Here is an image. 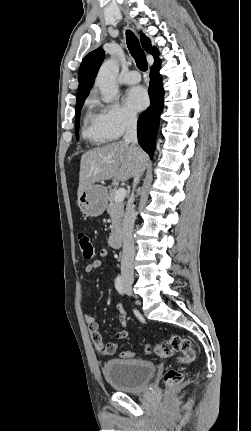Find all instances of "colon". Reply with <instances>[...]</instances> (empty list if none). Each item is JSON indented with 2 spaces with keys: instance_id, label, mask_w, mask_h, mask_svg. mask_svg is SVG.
<instances>
[{
  "instance_id": "colon-1",
  "label": "colon",
  "mask_w": 251,
  "mask_h": 431,
  "mask_svg": "<svg viewBox=\"0 0 251 431\" xmlns=\"http://www.w3.org/2000/svg\"><path fill=\"white\" fill-rule=\"evenodd\" d=\"M78 244L80 252L84 259L91 260L94 258L95 249L91 238L87 234L83 232L79 233ZM145 351L147 353H154L160 358H168L175 353H180L181 355L178 357V362L181 364L190 363L195 358V352L192 347L191 341L180 335H173L168 340L162 341L157 344L146 345ZM132 356L133 352L131 351H124L121 354V357L123 358H131ZM182 380L183 374L179 370L169 369L165 372L164 383L167 388V391H170L175 388L182 382Z\"/></svg>"
}]
</instances>
